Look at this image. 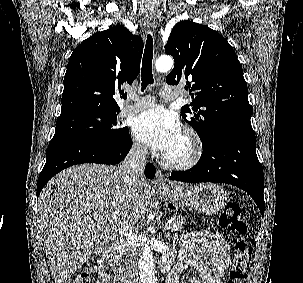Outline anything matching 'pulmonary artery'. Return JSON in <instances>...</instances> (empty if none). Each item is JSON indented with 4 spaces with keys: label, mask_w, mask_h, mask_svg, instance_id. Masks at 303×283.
I'll return each instance as SVG.
<instances>
[{
    "label": "pulmonary artery",
    "mask_w": 303,
    "mask_h": 283,
    "mask_svg": "<svg viewBox=\"0 0 303 283\" xmlns=\"http://www.w3.org/2000/svg\"><path fill=\"white\" fill-rule=\"evenodd\" d=\"M161 97L164 100H174L179 97L180 91L173 86H164L161 90ZM155 98L153 96L137 97L134 93L130 92L128 95V102L121 108L120 115L127 116L136 114L146 108L153 106Z\"/></svg>",
    "instance_id": "pulmonary-artery-1"
}]
</instances>
